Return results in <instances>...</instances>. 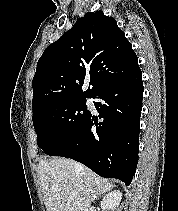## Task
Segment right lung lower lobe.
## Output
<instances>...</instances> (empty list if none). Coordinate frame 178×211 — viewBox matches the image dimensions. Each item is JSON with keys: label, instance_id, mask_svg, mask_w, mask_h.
<instances>
[{"label": "right lung lower lobe", "instance_id": "1", "mask_svg": "<svg viewBox=\"0 0 178 211\" xmlns=\"http://www.w3.org/2000/svg\"><path fill=\"white\" fill-rule=\"evenodd\" d=\"M142 72L110 84L94 97L99 118L90 113L84 125L48 155L71 158L104 178L130 185L138 163L143 98Z\"/></svg>", "mask_w": 178, "mask_h": 211}]
</instances>
